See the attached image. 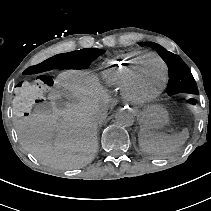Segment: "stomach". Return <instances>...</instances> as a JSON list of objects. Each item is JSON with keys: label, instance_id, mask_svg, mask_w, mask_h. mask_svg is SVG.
<instances>
[{"label": "stomach", "instance_id": "obj_1", "mask_svg": "<svg viewBox=\"0 0 211 211\" xmlns=\"http://www.w3.org/2000/svg\"><path fill=\"white\" fill-rule=\"evenodd\" d=\"M168 112L161 106L146 108L141 116V125L146 129H158L168 122Z\"/></svg>", "mask_w": 211, "mask_h": 211}]
</instances>
